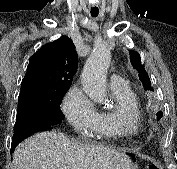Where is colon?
<instances>
[{
  "label": "colon",
  "instance_id": "obj_1",
  "mask_svg": "<svg viewBox=\"0 0 177 169\" xmlns=\"http://www.w3.org/2000/svg\"><path fill=\"white\" fill-rule=\"evenodd\" d=\"M148 169H159V168L156 167V166H151V167H149Z\"/></svg>",
  "mask_w": 177,
  "mask_h": 169
}]
</instances>
